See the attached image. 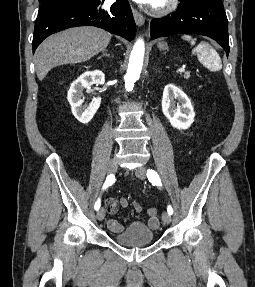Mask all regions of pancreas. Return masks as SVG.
Listing matches in <instances>:
<instances>
[{"mask_svg":"<svg viewBox=\"0 0 255 287\" xmlns=\"http://www.w3.org/2000/svg\"><path fill=\"white\" fill-rule=\"evenodd\" d=\"M183 78H186V80H188V78H190V72H185V74H183Z\"/></svg>","mask_w":255,"mask_h":287,"instance_id":"1","label":"pancreas"}]
</instances>
